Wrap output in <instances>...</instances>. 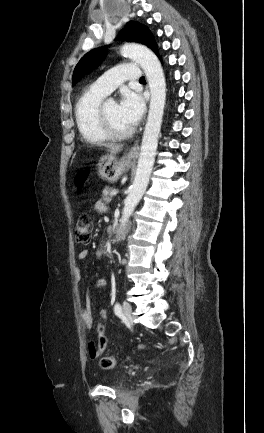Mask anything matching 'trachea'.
I'll use <instances>...</instances> for the list:
<instances>
[{
	"label": "trachea",
	"instance_id": "1",
	"mask_svg": "<svg viewBox=\"0 0 264 433\" xmlns=\"http://www.w3.org/2000/svg\"><path fill=\"white\" fill-rule=\"evenodd\" d=\"M140 81H145V78H144V77H141V78H140Z\"/></svg>",
	"mask_w": 264,
	"mask_h": 433
}]
</instances>
